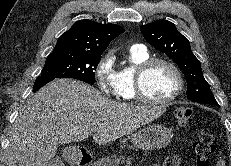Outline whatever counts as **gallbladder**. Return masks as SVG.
<instances>
[{
	"label": "gallbladder",
	"instance_id": "1",
	"mask_svg": "<svg viewBox=\"0 0 231 166\" xmlns=\"http://www.w3.org/2000/svg\"><path fill=\"white\" fill-rule=\"evenodd\" d=\"M58 163V165H62V161L59 158L54 159L53 161H51L49 166H56V164Z\"/></svg>",
	"mask_w": 231,
	"mask_h": 166
}]
</instances>
